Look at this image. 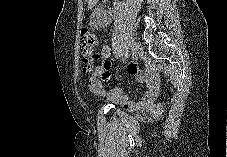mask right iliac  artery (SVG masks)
<instances>
[{
  "label": "right iliac artery",
  "instance_id": "82829eb1",
  "mask_svg": "<svg viewBox=\"0 0 227 157\" xmlns=\"http://www.w3.org/2000/svg\"><path fill=\"white\" fill-rule=\"evenodd\" d=\"M125 53H130V48H125Z\"/></svg>",
  "mask_w": 227,
  "mask_h": 157
}]
</instances>
